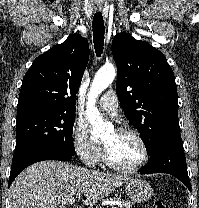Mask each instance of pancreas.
<instances>
[{"label": "pancreas", "instance_id": "1", "mask_svg": "<svg viewBox=\"0 0 199 208\" xmlns=\"http://www.w3.org/2000/svg\"><path fill=\"white\" fill-rule=\"evenodd\" d=\"M120 208H131L132 206V202L128 201V200H122L120 201Z\"/></svg>", "mask_w": 199, "mask_h": 208}]
</instances>
